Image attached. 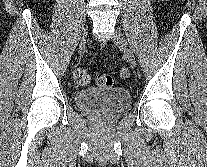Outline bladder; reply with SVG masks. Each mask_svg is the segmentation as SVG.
Instances as JSON below:
<instances>
[{
	"label": "bladder",
	"mask_w": 207,
	"mask_h": 167,
	"mask_svg": "<svg viewBox=\"0 0 207 167\" xmlns=\"http://www.w3.org/2000/svg\"><path fill=\"white\" fill-rule=\"evenodd\" d=\"M74 102L89 114L116 115L128 109L131 96L123 87L86 88L75 92Z\"/></svg>",
	"instance_id": "31cf9c89"
}]
</instances>
